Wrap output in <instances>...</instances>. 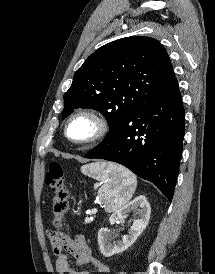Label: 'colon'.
I'll return each instance as SVG.
<instances>
[{
  "instance_id": "obj_1",
  "label": "colon",
  "mask_w": 215,
  "mask_h": 274,
  "mask_svg": "<svg viewBox=\"0 0 215 274\" xmlns=\"http://www.w3.org/2000/svg\"><path fill=\"white\" fill-rule=\"evenodd\" d=\"M46 184L53 191L52 211L54 215L53 223L56 227L62 225L63 216L68 209L69 192L64 182V172L60 163L51 162L46 174ZM50 237H54L52 232L49 233Z\"/></svg>"
}]
</instances>
